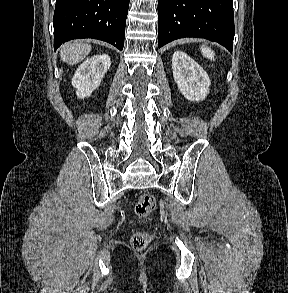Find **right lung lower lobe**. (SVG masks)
<instances>
[{
  "label": "right lung lower lobe",
  "mask_w": 288,
  "mask_h": 293,
  "mask_svg": "<svg viewBox=\"0 0 288 293\" xmlns=\"http://www.w3.org/2000/svg\"><path fill=\"white\" fill-rule=\"evenodd\" d=\"M129 0H56L54 49L62 43L93 38L123 49Z\"/></svg>",
  "instance_id": "right-lung-lower-lobe-1"
}]
</instances>
